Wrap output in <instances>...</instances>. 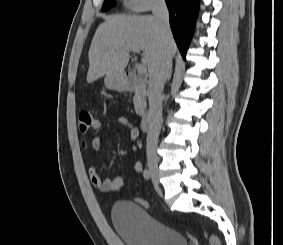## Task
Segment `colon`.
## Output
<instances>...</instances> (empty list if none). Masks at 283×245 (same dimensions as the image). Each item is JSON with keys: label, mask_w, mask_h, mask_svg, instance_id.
Listing matches in <instances>:
<instances>
[{"label": "colon", "mask_w": 283, "mask_h": 245, "mask_svg": "<svg viewBox=\"0 0 283 245\" xmlns=\"http://www.w3.org/2000/svg\"><path fill=\"white\" fill-rule=\"evenodd\" d=\"M99 126V121L94 117V115L88 111L84 110L79 114V131L82 136H86L90 130L95 129ZM123 186V179L121 177H116L112 179L111 188L113 191L121 189ZM137 202L143 206L148 207V202L143 199H138ZM210 245H221L219 239L216 236H211L209 238Z\"/></svg>", "instance_id": "1"}]
</instances>
